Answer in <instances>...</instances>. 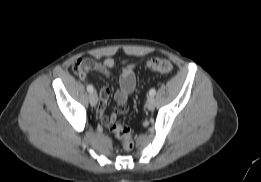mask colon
I'll return each mask as SVG.
<instances>
[{
	"instance_id": "obj_1",
	"label": "colon",
	"mask_w": 261,
	"mask_h": 182,
	"mask_svg": "<svg viewBox=\"0 0 261 182\" xmlns=\"http://www.w3.org/2000/svg\"><path fill=\"white\" fill-rule=\"evenodd\" d=\"M147 66L153 71L164 74L170 73L173 70V64L166 58H151L147 61ZM73 71L80 77H86L89 69L84 60H77L73 65ZM109 130L121 141L125 151L133 149L134 139L129 127L113 120L109 123Z\"/></svg>"
}]
</instances>
